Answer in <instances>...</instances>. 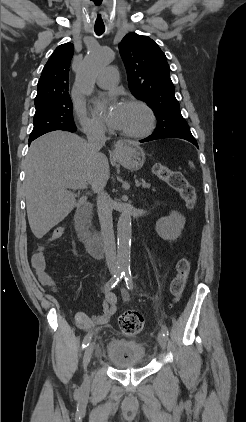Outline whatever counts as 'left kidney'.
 <instances>
[{
    "label": "left kidney",
    "instance_id": "left-kidney-1",
    "mask_svg": "<svg viewBox=\"0 0 246 422\" xmlns=\"http://www.w3.org/2000/svg\"><path fill=\"white\" fill-rule=\"evenodd\" d=\"M185 225V218L177 211L162 217L156 222V232L164 240L175 241L181 235Z\"/></svg>",
    "mask_w": 246,
    "mask_h": 422
}]
</instances>
